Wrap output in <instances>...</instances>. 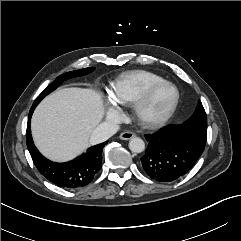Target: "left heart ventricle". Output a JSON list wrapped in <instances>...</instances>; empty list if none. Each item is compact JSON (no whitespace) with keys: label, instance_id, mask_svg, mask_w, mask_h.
Returning a JSON list of instances; mask_svg holds the SVG:
<instances>
[{"label":"left heart ventricle","instance_id":"b2bd125f","mask_svg":"<svg viewBox=\"0 0 241 241\" xmlns=\"http://www.w3.org/2000/svg\"><path fill=\"white\" fill-rule=\"evenodd\" d=\"M174 96L175 92L171 87L161 88L153 97L148 107V114L151 116L163 114L172 103Z\"/></svg>","mask_w":241,"mask_h":241}]
</instances>
